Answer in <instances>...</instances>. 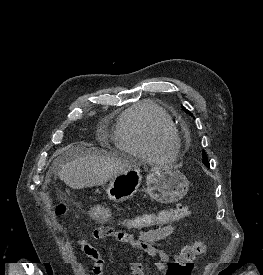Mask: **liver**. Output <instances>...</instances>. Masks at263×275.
<instances>
[{
  "label": "liver",
  "instance_id": "liver-1",
  "mask_svg": "<svg viewBox=\"0 0 263 275\" xmlns=\"http://www.w3.org/2000/svg\"><path fill=\"white\" fill-rule=\"evenodd\" d=\"M133 165L127 159L88 150L67 161L58 175L70 188L83 189L103 185Z\"/></svg>",
  "mask_w": 263,
  "mask_h": 275
}]
</instances>
